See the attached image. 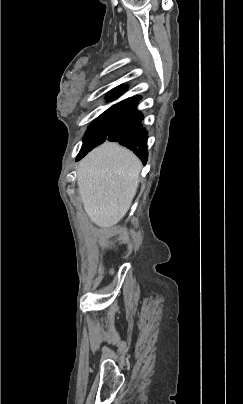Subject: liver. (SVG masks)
I'll list each match as a JSON object with an SVG mask.
<instances>
[{"label": "liver", "instance_id": "6515ba94", "mask_svg": "<svg viewBox=\"0 0 243 404\" xmlns=\"http://www.w3.org/2000/svg\"><path fill=\"white\" fill-rule=\"evenodd\" d=\"M142 164L130 150L105 142L77 166L84 210L99 228H111L128 212L137 192Z\"/></svg>", "mask_w": 243, "mask_h": 404}]
</instances>
